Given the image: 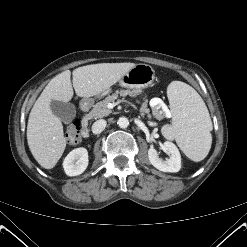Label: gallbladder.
I'll list each match as a JSON object with an SVG mask.
<instances>
[{"label": "gallbladder", "instance_id": "bac80fb5", "mask_svg": "<svg viewBox=\"0 0 247 247\" xmlns=\"http://www.w3.org/2000/svg\"><path fill=\"white\" fill-rule=\"evenodd\" d=\"M50 108L52 113L64 123H70L76 116V108L69 102L52 100Z\"/></svg>", "mask_w": 247, "mask_h": 247}]
</instances>
